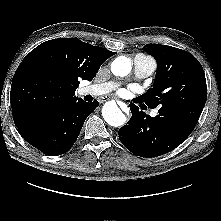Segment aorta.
Listing matches in <instances>:
<instances>
[{
	"label": "aorta",
	"instance_id": "aorta-1",
	"mask_svg": "<svg viewBox=\"0 0 221 221\" xmlns=\"http://www.w3.org/2000/svg\"><path fill=\"white\" fill-rule=\"evenodd\" d=\"M131 68L130 60L124 56L116 58L111 65V71L115 76H126L131 72ZM102 115L110 126L120 127L126 122L125 115L114 102H108L104 105Z\"/></svg>",
	"mask_w": 221,
	"mask_h": 221
}]
</instances>
